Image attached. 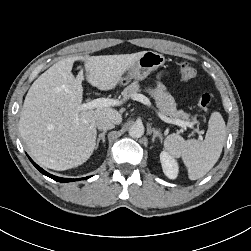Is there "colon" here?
Returning <instances> with one entry per match:
<instances>
[{
  "label": "colon",
  "instance_id": "colon-1",
  "mask_svg": "<svg viewBox=\"0 0 251 251\" xmlns=\"http://www.w3.org/2000/svg\"><path fill=\"white\" fill-rule=\"evenodd\" d=\"M180 77L185 81H191L196 77L195 68L189 63H182L179 68ZM211 104V95L209 93H203L198 98V106L207 111Z\"/></svg>",
  "mask_w": 251,
  "mask_h": 251
}]
</instances>
